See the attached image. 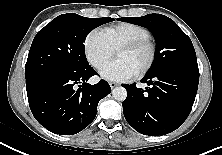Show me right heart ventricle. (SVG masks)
Listing matches in <instances>:
<instances>
[{
	"instance_id": "obj_1",
	"label": "right heart ventricle",
	"mask_w": 222,
	"mask_h": 155,
	"mask_svg": "<svg viewBox=\"0 0 222 155\" xmlns=\"http://www.w3.org/2000/svg\"><path fill=\"white\" fill-rule=\"evenodd\" d=\"M102 33L114 51L126 43L151 37V32L148 28L130 22L108 26L103 29Z\"/></svg>"
}]
</instances>
